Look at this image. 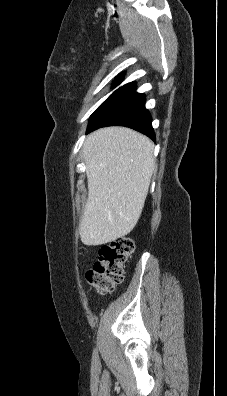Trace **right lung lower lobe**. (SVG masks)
<instances>
[{
  "label": "right lung lower lobe",
  "mask_w": 227,
  "mask_h": 396,
  "mask_svg": "<svg viewBox=\"0 0 227 396\" xmlns=\"http://www.w3.org/2000/svg\"><path fill=\"white\" fill-rule=\"evenodd\" d=\"M145 95L136 92V83L116 90L92 114L87 132L106 126H125L139 131L155 141L152 119L145 108Z\"/></svg>",
  "instance_id": "right-lung-lower-lobe-1"
}]
</instances>
